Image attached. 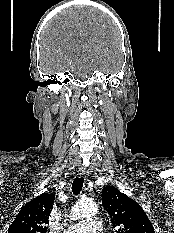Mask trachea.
I'll list each match as a JSON object with an SVG mask.
<instances>
[{"instance_id":"3493384b","label":"trachea","mask_w":174,"mask_h":233,"mask_svg":"<svg viewBox=\"0 0 174 233\" xmlns=\"http://www.w3.org/2000/svg\"><path fill=\"white\" fill-rule=\"evenodd\" d=\"M83 177H76L72 183V191L75 195H78L83 187Z\"/></svg>"}]
</instances>
